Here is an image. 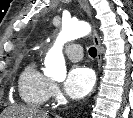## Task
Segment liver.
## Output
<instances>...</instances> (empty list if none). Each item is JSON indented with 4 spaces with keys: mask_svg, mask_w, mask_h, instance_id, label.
<instances>
[{
    "mask_svg": "<svg viewBox=\"0 0 133 118\" xmlns=\"http://www.w3.org/2000/svg\"><path fill=\"white\" fill-rule=\"evenodd\" d=\"M5 117L9 118H48V114L34 107H18L8 108Z\"/></svg>",
    "mask_w": 133,
    "mask_h": 118,
    "instance_id": "obj_1",
    "label": "liver"
}]
</instances>
